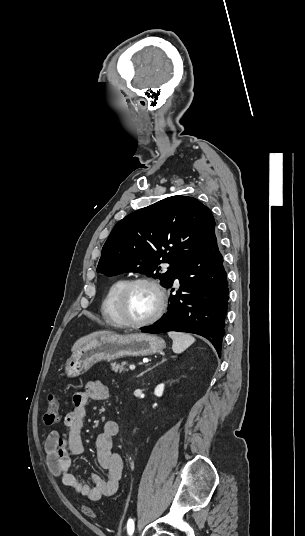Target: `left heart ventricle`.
<instances>
[{
    "mask_svg": "<svg viewBox=\"0 0 305 536\" xmlns=\"http://www.w3.org/2000/svg\"><path fill=\"white\" fill-rule=\"evenodd\" d=\"M158 305V294L150 285H135L125 298L126 319L132 322L143 320L154 313Z\"/></svg>",
    "mask_w": 305,
    "mask_h": 536,
    "instance_id": "1",
    "label": "left heart ventricle"
}]
</instances>
